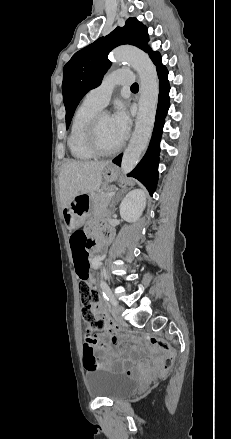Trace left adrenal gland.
<instances>
[{
  "label": "left adrenal gland",
  "mask_w": 231,
  "mask_h": 439,
  "mask_svg": "<svg viewBox=\"0 0 231 439\" xmlns=\"http://www.w3.org/2000/svg\"><path fill=\"white\" fill-rule=\"evenodd\" d=\"M125 191H126V189H122V190H120L119 192H117V194H116V196H115V198L113 199L112 204H111V208H113V209H112L113 212L115 211V208H114V207H115V204L120 200L122 194H123Z\"/></svg>",
  "instance_id": "left-adrenal-gland-1"
}]
</instances>
